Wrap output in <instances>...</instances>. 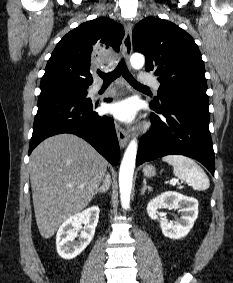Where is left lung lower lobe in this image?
I'll return each mask as SVG.
<instances>
[{
  "mask_svg": "<svg viewBox=\"0 0 233 283\" xmlns=\"http://www.w3.org/2000/svg\"><path fill=\"white\" fill-rule=\"evenodd\" d=\"M208 96L182 90L151 102L152 131L141 138L136 165L169 154L201 162L214 175V151L209 131Z\"/></svg>",
  "mask_w": 233,
  "mask_h": 283,
  "instance_id": "obj_1",
  "label": "left lung lower lobe"
}]
</instances>
